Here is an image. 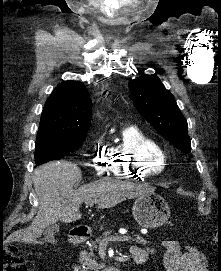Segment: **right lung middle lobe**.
Returning a JSON list of instances; mask_svg holds the SVG:
<instances>
[{
  "instance_id": "dd1d6c3e",
  "label": "right lung middle lobe",
  "mask_w": 221,
  "mask_h": 271,
  "mask_svg": "<svg viewBox=\"0 0 221 271\" xmlns=\"http://www.w3.org/2000/svg\"><path fill=\"white\" fill-rule=\"evenodd\" d=\"M86 138L85 135L59 136L37 134L35 146V163L61 159L78 149Z\"/></svg>"
}]
</instances>
